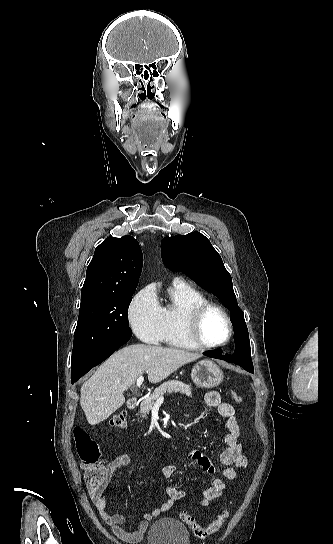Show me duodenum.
<instances>
[{
    "label": "duodenum",
    "instance_id": "duodenum-1",
    "mask_svg": "<svg viewBox=\"0 0 333 544\" xmlns=\"http://www.w3.org/2000/svg\"><path fill=\"white\" fill-rule=\"evenodd\" d=\"M138 405V399L137 398H130L127 402V406L129 409H135Z\"/></svg>",
    "mask_w": 333,
    "mask_h": 544
}]
</instances>
